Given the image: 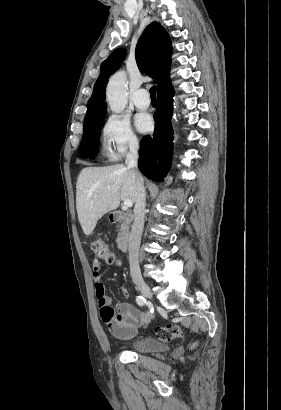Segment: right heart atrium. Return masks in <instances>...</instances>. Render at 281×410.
I'll use <instances>...</instances> for the list:
<instances>
[{
  "instance_id": "right-heart-atrium-1",
  "label": "right heart atrium",
  "mask_w": 281,
  "mask_h": 410,
  "mask_svg": "<svg viewBox=\"0 0 281 410\" xmlns=\"http://www.w3.org/2000/svg\"><path fill=\"white\" fill-rule=\"evenodd\" d=\"M101 146L106 157L117 160L129 150L137 149L139 140L125 117L111 114L101 128Z\"/></svg>"
}]
</instances>
